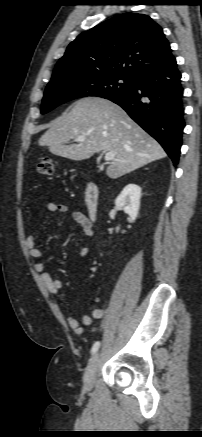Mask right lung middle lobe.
<instances>
[{
	"mask_svg": "<svg viewBox=\"0 0 202 437\" xmlns=\"http://www.w3.org/2000/svg\"><path fill=\"white\" fill-rule=\"evenodd\" d=\"M133 82L134 77L120 73L69 76L52 80L46 87L41 113L45 114L58 105L79 97L98 96L107 99L128 91Z\"/></svg>",
	"mask_w": 202,
	"mask_h": 437,
	"instance_id": "dd1d6c3e",
	"label": "right lung middle lobe"
}]
</instances>
